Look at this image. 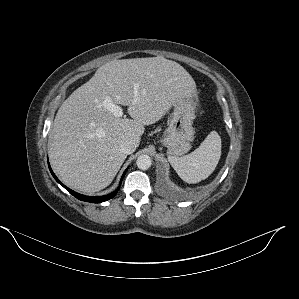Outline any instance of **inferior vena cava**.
I'll list each match as a JSON object with an SVG mask.
<instances>
[{
  "label": "inferior vena cava",
  "mask_w": 299,
  "mask_h": 299,
  "mask_svg": "<svg viewBox=\"0 0 299 299\" xmlns=\"http://www.w3.org/2000/svg\"><path fill=\"white\" fill-rule=\"evenodd\" d=\"M119 149L122 153L129 155L132 154L136 149V144L131 139L121 141Z\"/></svg>",
  "instance_id": "1"
}]
</instances>
